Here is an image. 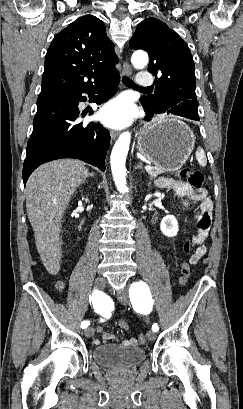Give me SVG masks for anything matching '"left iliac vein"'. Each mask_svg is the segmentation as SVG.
<instances>
[{"mask_svg": "<svg viewBox=\"0 0 243 409\" xmlns=\"http://www.w3.org/2000/svg\"><path fill=\"white\" fill-rule=\"evenodd\" d=\"M118 300L124 305L129 303V298H128V295H127L126 292L119 293L118 294ZM146 336H147L148 340L152 341V340H154L156 338V333L154 331H148Z\"/></svg>", "mask_w": 243, "mask_h": 409, "instance_id": "left-iliac-vein-1", "label": "left iliac vein"}]
</instances>
